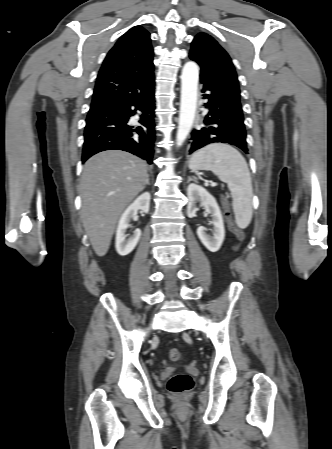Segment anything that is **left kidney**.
I'll return each mask as SVG.
<instances>
[{"instance_id": "5707ae66", "label": "left kidney", "mask_w": 332, "mask_h": 449, "mask_svg": "<svg viewBox=\"0 0 332 449\" xmlns=\"http://www.w3.org/2000/svg\"><path fill=\"white\" fill-rule=\"evenodd\" d=\"M187 195V215L189 218L196 216L198 202L208 214H211L212 221L210 223L214 226L213 236L207 235L203 226L198 227L197 235L210 252H217L224 241L225 229L222 214L215 198L205 188L194 183L188 185Z\"/></svg>"}]
</instances>
